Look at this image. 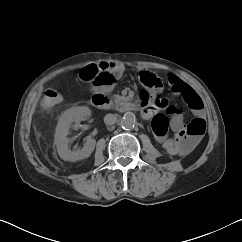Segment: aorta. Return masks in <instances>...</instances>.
Listing matches in <instances>:
<instances>
[{
  "label": "aorta",
  "instance_id": "obj_1",
  "mask_svg": "<svg viewBox=\"0 0 242 242\" xmlns=\"http://www.w3.org/2000/svg\"><path fill=\"white\" fill-rule=\"evenodd\" d=\"M121 126L125 130H131L135 127V115L133 112H126L121 120Z\"/></svg>",
  "mask_w": 242,
  "mask_h": 242
}]
</instances>
